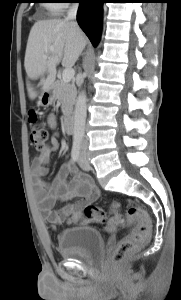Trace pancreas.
Wrapping results in <instances>:
<instances>
[{"label": "pancreas", "instance_id": "cf45deb5", "mask_svg": "<svg viewBox=\"0 0 181 300\" xmlns=\"http://www.w3.org/2000/svg\"><path fill=\"white\" fill-rule=\"evenodd\" d=\"M55 96L62 106V113L65 117L69 116L73 111V105L76 98V87L74 84L66 83L63 80H57L54 84Z\"/></svg>", "mask_w": 181, "mask_h": 300}]
</instances>
